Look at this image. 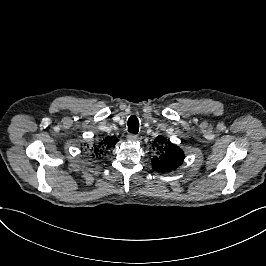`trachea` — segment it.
Wrapping results in <instances>:
<instances>
[{"label":"trachea","mask_w":266,"mask_h":266,"mask_svg":"<svg viewBox=\"0 0 266 266\" xmlns=\"http://www.w3.org/2000/svg\"><path fill=\"white\" fill-rule=\"evenodd\" d=\"M139 131V121L137 117L131 116L128 119V132L137 134Z\"/></svg>","instance_id":"1"}]
</instances>
